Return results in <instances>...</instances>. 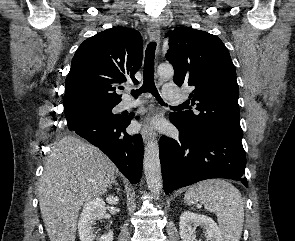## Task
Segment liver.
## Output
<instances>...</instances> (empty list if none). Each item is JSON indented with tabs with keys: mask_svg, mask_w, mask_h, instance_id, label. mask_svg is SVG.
<instances>
[{
	"mask_svg": "<svg viewBox=\"0 0 295 241\" xmlns=\"http://www.w3.org/2000/svg\"><path fill=\"white\" fill-rule=\"evenodd\" d=\"M117 168L75 136L56 143L39 182V204L50 241H75L81 207L107 191Z\"/></svg>",
	"mask_w": 295,
	"mask_h": 241,
	"instance_id": "liver-1",
	"label": "liver"
}]
</instances>
